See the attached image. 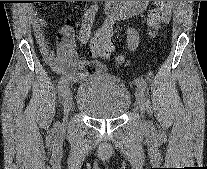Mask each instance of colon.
Masks as SVG:
<instances>
[{"instance_id": "colon-1", "label": "colon", "mask_w": 207, "mask_h": 169, "mask_svg": "<svg viewBox=\"0 0 207 169\" xmlns=\"http://www.w3.org/2000/svg\"><path fill=\"white\" fill-rule=\"evenodd\" d=\"M174 1H154V7L148 14V26L151 34L160 29L169 20ZM113 50L111 33L106 30L98 31L91 41L90 54L96 59L107 58ZM121 59V57H119Z\"/></svg>"}]
</instances>
